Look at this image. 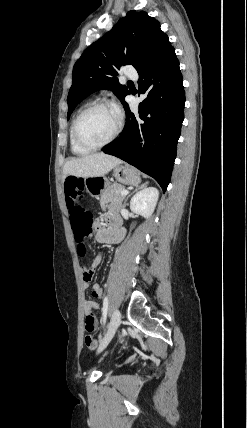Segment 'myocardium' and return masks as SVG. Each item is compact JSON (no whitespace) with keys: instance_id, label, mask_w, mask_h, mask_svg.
<instances>
[{"instance_id":"1","label":"myocardium","mask_w":247,"mask_h":428,"mask_svg":"<svg viewBox=\"0 0 247 428\" xmlns=\"http://www.w3.org/2000/svg\"><path fill=\"white\" fill-rule=\"evenodd\" d=\"M96 108H107V109L113 110L116 114L117 121H116V126H115L113 133L111 134V136L107 140H105L104 142L98 143V144H92V143L85 141L80 136L79 124H80V121L85 114H87L89 111L96 109ZM122 126H123L122 117L116 111V109L113 107V105L111 103H109L107 101H96V102H93V103L89 104L88 106H86L83 110H81L77 114V116L74 120V123H73V137H74V140L76 141V143L78 145H80L81 147H84V148L89 149V150H96V149H100V148H103V147L111 144L120 134Z\"/></svg>"}]
</instances>
